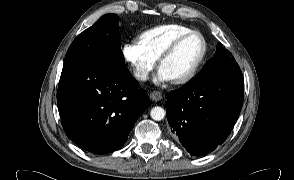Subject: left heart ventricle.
Masks as SVG:
<instances>
[{
  "mask_svg": "<svg viewBox=\"0 0 294 180\" xmlns=\"http://www.w3.org/2000/svg\"><path fill=\"white\" fill-rule=\"evenodd\" d=\"M202 52V41L197 35L187 38L161 66L171 80L185 76Z\"/></svg>",
  "mask_w": 294,
  "mask_h": 180,
  "instance_id": "b2bd125f",
  "label": "left heart ventricle"
}]
</instances>
